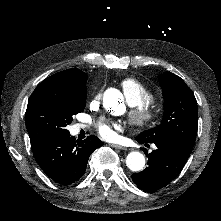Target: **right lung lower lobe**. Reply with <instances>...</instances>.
Here are the masks:
<instances>
[{
    "instance_id": "98d812e1",
    "label": "right lung lower lobe",
    "mask_w": 221,
    "mask_h": 221,
    "mask_svg": "<svg viewBox=\"0 0 221 221\" xmlns=\"http://www.w3.org/2000/svg\"><path fill=\"white\" fill-rule=\"evenodd\" d=\"M101 145V140L95 136H88L86 140L79 142L69 134L32 147V151L46 175L56 183L66 186L84 175L89 156Z\"/></svg>"
}]
</instances>
